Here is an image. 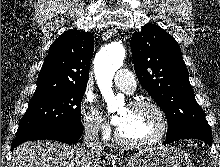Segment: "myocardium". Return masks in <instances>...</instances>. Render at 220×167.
Instances as JSON below:
<instances>
[{
  "label": "myocardium",
  "mask_w": 220,
  "mask_h": 167,
  "mask_svg": "<svg viewBox=\"0 0 220 167\" xmlns=\"http://www.w3.org/2000/svg\"><path fill=\"white\" fill-rule=\"evenodd\" d=\"M131 108H138V109L148 108L153 110L159 118V123H160L159 130L153 137L149 139L141 140V141H131L124 138L121 135L119 129H117L115 132V139L117 143L129 148H144V147L154 146L160 143L165 138L168 131V118L163 108L157 103L148 100L135 101L131 104Z\"/></svg>",
  "instance_id": "f54148a6"
}]
</instances>
